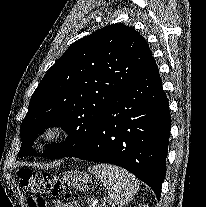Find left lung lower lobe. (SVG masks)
Wrapping results in <instances>:
<instances>
[{"mask_svg": "<svg viewBox=\"0 0 206 207\" xmlns=\"http://www.w3.org/2000/svg\"><path fill=\"white\" fill-rule=\"evenodd\" d=\"M170 128L168 99L151 58L107 107L91 142L70 156L121 166L149 185L159 200Z\"/></svg>", "mask_w": 206, "mask_h": 207, "instance_id": "0a47b994", "label": "left lung lower lobe"}]
</instances>
